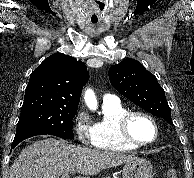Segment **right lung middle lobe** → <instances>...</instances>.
<instances>
[{
  "label": "right lung middle lobe",
  "instance_id": "right-lung-middle-lobe-1",
  "mask_svg": "<svg viewBox=\"0 0 194 178\" xmlns=\"http://www.w3.org/2000/svg\"><path fill=\"white\" fill-rule=\"evenodd\" d=\"M77 106L62 101L36 98L24 100L16 135L40 132L64 139L74 138L72 120Z\"/></svg>",
  "mask_w": 194,
  "mask_h": 178
}]
</instances>
